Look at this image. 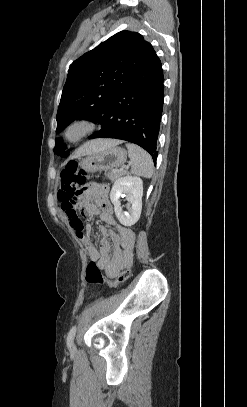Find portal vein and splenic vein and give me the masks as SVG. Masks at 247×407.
Here are the masks:
<instances>
[{
	"instance_id": "obj_1",
	"label": "portal vein and splenic vein",
	"mask_w": 247,
	"mask_h": 407,
	"mask_svg": "<svg viewBox=\"0 0 247 407\" xmlns=\"http://www.w3.org/2000/svg\"><path fill=\"white\" fill-rule=\"evenodd\" d=\"M128 168V166L127 167H123V168H121L119 171H124V169H127Z\"/></svg>"
}]
</instances>
